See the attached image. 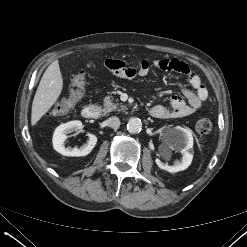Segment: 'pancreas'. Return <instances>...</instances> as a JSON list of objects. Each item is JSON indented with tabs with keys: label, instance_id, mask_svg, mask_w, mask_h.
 Listing matches in <instances>:
<instances>
[{
	"label": "pancreas",
	"instance_id": "1",
	"mask_svg": "<svg viewBox=\"0 0 247 247\" xmlns=\"http://www.w3.org/2000/svg\"><path fill=\"white\" fill-rule=\"evenodd\" d=\"M125 109H126L125 105L112 102V99L110 98V96H107L104 98V108H103L104 114H107V113H110L116 110L123 111Z\"/></svg>",
	"mask_w": 247,
	"mask_h": 247
}]
</instances>
